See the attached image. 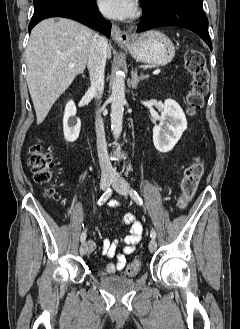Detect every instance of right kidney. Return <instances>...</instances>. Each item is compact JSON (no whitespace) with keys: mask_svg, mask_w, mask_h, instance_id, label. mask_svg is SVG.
<instances>
[{"mask_svg":"<svg viewBox=\"0 0 240 329\" xmlns=\"http://www.w3.org/2000/svg\"><path fill=\"white\" fill-rule=\"evenodd\" d=\"M75 116L76 106L74 101L71 100L66 104L63 117L64 137L68 142L76 141L80 134L81 121Z\"/></svg>","mask_w":240,"mask_h":329,"instance_id":"obj_1","label":"right kidney"}]
</instances>
